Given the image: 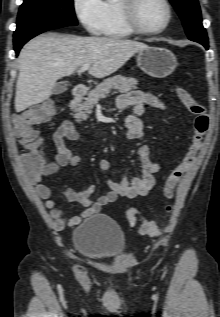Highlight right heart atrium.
Masks as SVG:
<instances>
[{
    "label": "right heart atrium",
    "instance_id": "obj_1",
    "mask_svg": "<svg viewBox=\"0 0 220 317\" xmlns=\"http://www.w3.org/2000/svg\"><path fill=\"white\" fill-rule=\"evenodd\" d=\"M72 6L77 19L89 33H100L102 0H73Z\"/></svg>",
    "mask_w": 220,
    "mask_h": 317
}]
</instances>
